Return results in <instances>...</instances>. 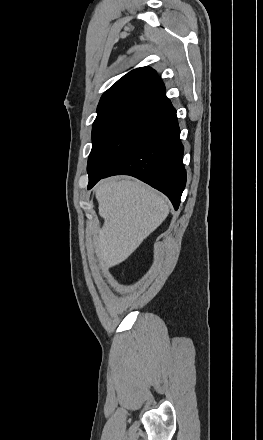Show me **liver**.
<instances>
[{
    "label": "liver",
    "mask_w": 263,
    "mask_h": 440,
    "mask_svg": "<svg viewBox=\"0 0 263 440\" xmlns=\"http://www.w3.org/2000/svg\"><path fill=\"white\" fill-rule=\"evenodd\" d=\"M104 225L94 236L105 271L125 261L169 214L167 201L143 183L105 179L95 189Z\"/></svg>",
    "instance_id": "obj_1"
}]
</instances>
